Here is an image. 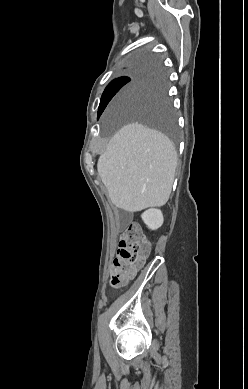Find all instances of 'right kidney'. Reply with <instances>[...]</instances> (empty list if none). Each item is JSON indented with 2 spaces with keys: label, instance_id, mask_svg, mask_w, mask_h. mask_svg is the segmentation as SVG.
I'll return each mask as SVG.
<instances>
[{
  "label": "right kidney",
  "instance_id": "1",
  "mask_svg": "<svg viewBox=\"0 0 248 389\" xmlns=\"http://www.w3.org/2000/svg\"><path fill=\"white\" fill-rule=\"evenodd\" d=\"M142 220L151 230H156L162 226L164 218L161 210L149 209L142 214Z\"/></svg>",
  "mask_w": 248,
  "mask_h": 389
}]
</instances>
